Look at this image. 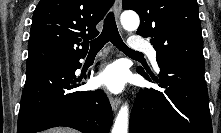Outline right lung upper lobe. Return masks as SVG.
I'll list each match as a JSON object with an SVG mask.
<instances>
[{"label": "right lung upper lobe", "instance_id": "cb5924a9", "mask_svg": "<svg viewBox=\"0 0 221 133\" xmlns=\"http://www.w3.org/2000/svg\"><path fill=\"white\" fill-rule=\"evenodd\" d=\"M114 0H40L32 19L27 67L79 59Z\"/></svg>", "mask_w": 221, "mask_h": 133}]
</instances>
